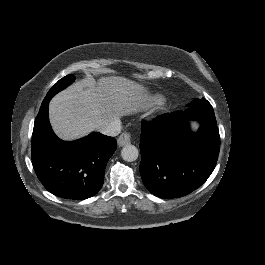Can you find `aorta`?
<instances>
[{
  "mask_svg": "<svg viewBox=\"0 0 265 265\" xmlns=\"http://www.w3.org/2000/svg\"><path fill=\"white\" fill-rule=\"evenodd\" d=\"M139 152L138 149L131 144L125 145L121 150V156L123 160L127 162H133L138 158Z\"/></svg>",
  "mask_w": 265,
  "mask_h": 265,
  "instance_id": "obj_1",
  "label": "aorta"
}]
</instances>
